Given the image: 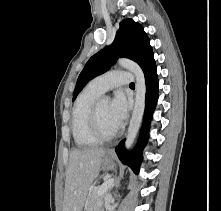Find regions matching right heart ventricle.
<instances>
[{"label":"right heart ventricle","mask_w":221,"mask_h":211,"mask_svg":"<svg viewBox=\"0 0 221 211\" xmlns=\"http://www.w3.org/2000/svg\"><path fill=\"white\" fill-rule=\"evenodd\" d=\"M102 92L88 84L78 95L72 110V135L77 146L92 147L98 140L92 135L89 127V115L93 104Z\"/></svg>","instance_id":"1"}]
</instances>
